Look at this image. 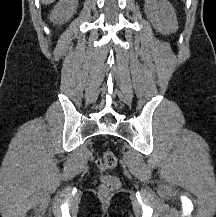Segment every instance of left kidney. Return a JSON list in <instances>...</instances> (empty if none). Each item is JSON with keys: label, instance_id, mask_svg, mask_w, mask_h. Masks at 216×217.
<instances>
[{"label": "left kidney", "instance_id": "5707ae66", "mask_svg": "<svg viewBox=\"0 0 216 217\" xmlns=\"http://www.w3.org/2000/svg\"><path fill=\"white\" fill-rule=\"evenodd\" d=\"M145 13L160 33H173L178 28L174 8L168 0H145Z\"/></svg>", "mask_w": 216, "mask_h": 217}]
</instances>
